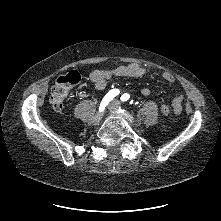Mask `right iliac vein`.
<instances>
[{"instance_id": "obj_1", "label": "right iliac vein", "mask_w": 221, "mask_h": 221, "mask_svg": "<svg viewBox=\"0 0 221 221\" xmlns=\"http://www.w3.org/2000/svg\"><path fill=\"white\" fill-rule=\"evenodd\" d=\"M102 114H103V113H99V114H98V117L102 116Z\"/></svg>"}]
</instances>
